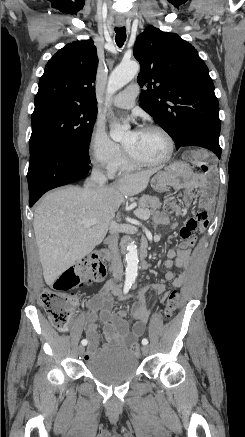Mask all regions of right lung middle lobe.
<instances>
[{"mask_svg":"<svg viewBox=\"0 0 245 437\" xmlns=\"http://www.w3.org/2000/svg\"><path fill=\"white\" fill-rule=\"evenodd\" d=\"M97 109L63 103L35 106L31 116L30 155L43 145L87 153Z\"/></svg>","mask_w":245,"mask_h":437,"instance_id":"obj_1","label":"right lung middle lobe"}]
</instances>
